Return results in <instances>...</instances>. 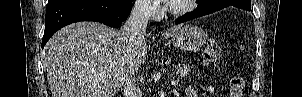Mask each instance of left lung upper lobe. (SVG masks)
I'll use <instances>...</instances> for the list:
<instances>
[{"mask_svg":"<svg viewBox=\"0 0 302 97\" xmlns=\"http://www.w3.org/2000/svg\"><path fill=\"white\" fill-rule=\"evenodd\" d=\"M200 1H207V0H199ZM217 5L227 7L231 4H239L240 0H215Z\"/></svg>","mask_w":302,"mask_h":97,"instance_id":"left-lung-upper-lobe-1","label":"left lung upper lobe"}]
</instances>
